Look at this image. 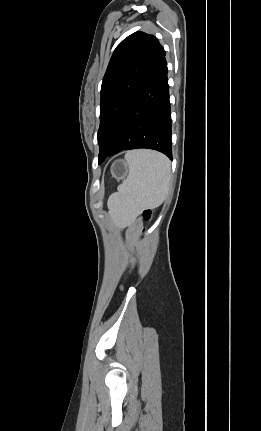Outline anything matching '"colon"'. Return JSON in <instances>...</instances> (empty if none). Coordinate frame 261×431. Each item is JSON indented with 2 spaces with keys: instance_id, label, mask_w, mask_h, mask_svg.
<instances>
[{
  "instance_id": "1",
  "label": "colon",
  "mask_w": 261,
  "mask_h": 431,
  "mask_svg": "<svg viewBox=\"0 0 261 431\" xmlns=\"http://www.w3.org/2000/svg\"><path fill=\"white\" fill-rule=\"evenodd\" d=\"M142 217L144 220L150 221L153 219V213L151 210H144L142 213ZM143 233H146V231L144 230Z\"/></svg>"
}]
</instances>
